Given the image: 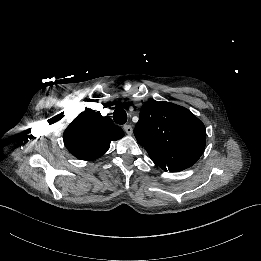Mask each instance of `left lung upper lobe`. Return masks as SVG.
<instances>
[{"mask_svg":"<svg viewBox=\"0 0 261 261\" xmlns=\"http://www.w3.org/2000/svg\"><path fill=\"white\" fill-rule=\"evenodd\" d=\"M134 135L156 165L176 172L192 166L200 158L205 148L206 129L188 109L150 100L140 110Z\"/></svg>","mask_w":261,"mask_h":261,"instance_id":"5c2ea615","label":"left lung upper lobe"}]
</instances>
